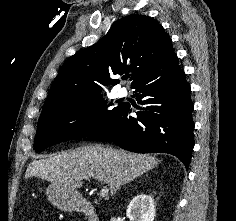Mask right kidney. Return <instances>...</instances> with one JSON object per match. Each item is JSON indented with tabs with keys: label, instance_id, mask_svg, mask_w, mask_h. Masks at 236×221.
I'll return each instance as SVG.
<instances>
[{
	"label": "right kidney",
	"instance_id": "right-kidney-1",
	"mask_svg": "<svg viewBox=\"0 0 236 221\" xmlns=\"http://www.w3.org/2000/svg\"><path fill=\"white\" fill-rule=\"evenodd\" d=\"M126 215L130 221H154L156 210L153 198L138 194L130 201Z\"/></svg>",
	"mask_w": 236,
	"mask_h": 221
}]
</instances>
